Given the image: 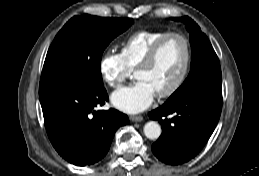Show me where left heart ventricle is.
I'll use <instances>...</instances> for the list:
<instances>
[{
  "label": "left heart ventricle",
  "mask_w": 259,
  "mask_h": 176,
  "mask_svg": "<svg viewBox=\"0 0 259 176\" xmlns=\"http://www.w3.org/2000/svg\"><path fill=\"white\" fill-rule=\"evenodd\" d=\"M185 59L183 42L177 37L167 39L155 61L147 68L135 72L138 81H145L159 93L166 90L177 78Z\"/></svg>",
  "instance_id": "b2bd125f"
}]
</instances>
